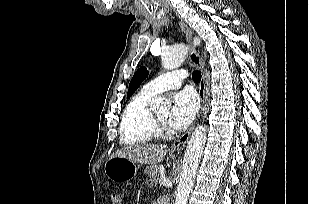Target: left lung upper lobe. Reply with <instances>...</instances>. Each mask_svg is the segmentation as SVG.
<instances>
[{
  "mask_svg": "<svg viewBox=\"0 0 309 204\" xmlns=\"http://www.w3.org/2000/svg\"><path fill=\"white\" fill-rule=\"evenodd\" d=\"M147 70L145 67H141L140 69H138L136 71V73L134 74L130 85H129V91L127 94V97L129 98L133 92L139 87V85L141 84V82L147 77Z\"/></svg>",
  "mask_w": 309,
  "mask_h": 204,
  "instance_id": "5c2ea615",
  "label": "left lung upper lobe"
}]
</instances>
